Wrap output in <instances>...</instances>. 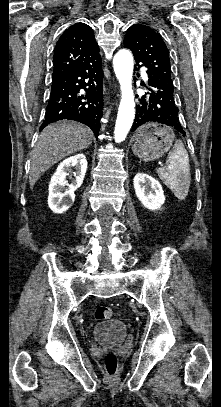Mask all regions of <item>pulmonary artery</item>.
<instances>
[{
  "label": "pulmonary artery",
  "mask_w": 221,
  "mask_h": 407,
  "mask_svg": "<svg viewBox=\"0 0 221 407\" xmlns=\"http://www.w3.org/2000/svg\"><path fill=\"white\" fill-rule=\"evenodd\" d=\"M144 76H146V72H143Z\"/></svg>",
  "instance_id": "obj_1"
}]
</instances>
